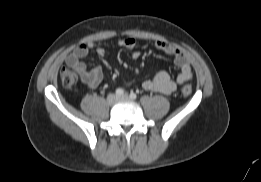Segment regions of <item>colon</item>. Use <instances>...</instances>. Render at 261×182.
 <instances>
[{"instance_id": "5ec220e1", "label": "colon", "mask_w": 261, "mask_h": 182, "mask_svg": "<svg viewBox=\"0 0 261 182\" xmlns=\"http://www.w3.org/2000/svg\"><path fill=\"white\" fill-rule=\"evenodd\" d=\"M60 79L64 87L71 88L73 87L78 81V75L67 68H63L60 71ZM192 93V87L189 84H185L182 88V94L184 96H189Z\"/></svg>"}]
</instances>
